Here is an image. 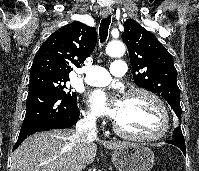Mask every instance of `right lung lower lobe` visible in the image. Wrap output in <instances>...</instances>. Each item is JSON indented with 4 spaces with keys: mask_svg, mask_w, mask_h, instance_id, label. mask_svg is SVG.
I'll return each instance as SVG.
<instances>
[{
    "mask_svg": "<svg viewBox=\"0 0 199 171\" xmlns=\"http://www.w3.org/2000/svg\"><path fill=\"white\" fill-rule=\"evenodd\" d=\"M79 115L76 102L65 98L52 88L30 89L25 118L13 150L36 132L72 127Z\"/></svg>",
    "mask_w": 199,
    "mask_h": 171,
    "instance_id": "1",
    "label": "right lung lower lobe"
}]
</instances>
